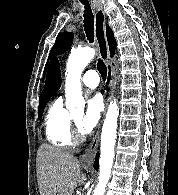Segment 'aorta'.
<instances>
[{"label":"aorta","mask_w":178,"mask_h":195,"mask_svg":"<svg viewBox=\"0 0 178 195\" xmlns=\"http://www.w3.org/2000/svg\"><path fill=\"white\" fill-rule=\"evenodd\" d=\"M95 55V50L85 47L72 52L68 58L66 67L65 94L66 107L70 112L84 106L81 89V74ZM119 108L116 101H111L107 110L106 118L101 133V155L98 184L93 195H104L109 182L114 159V146L116 142L117 119Z\"/></svg>","instance_id":"1"}]
</instances>
